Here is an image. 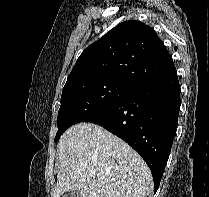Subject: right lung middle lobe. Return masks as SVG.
<instances>
[{
  "instance_id": "dd1d6c3e",
  "label": "right lung middle lobe",
  "mask_w": 209,
  "mask_h": 197,
  "mask_svg": "<svg viewBox=\"0 0 209 197\" xmlns=\"http://www.w3.org/2000/svg\"><path fill=\"white\" fill-rule=\"evenodd\" d=\"M136 88L116 80L81 81L64 86L58 112L55 142L73 124L122 100Z\"/></svg>"
}]
</instances>
